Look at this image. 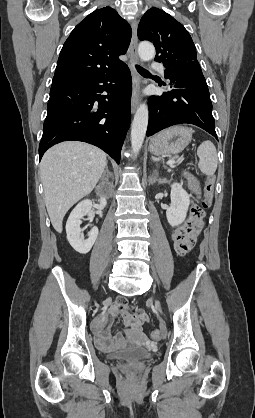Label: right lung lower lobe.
I'll return each mask as SVG.
<instances>
[{
	"instance_id": "right-lung-lower-lobe-1",
	"label": "right lung lower lobe",
	"mask_w": 255,
	"mask_h": 418,
	"mask_svg": "<svg viewBox=\"0 0 255 418\" xmlns=\"http://www.w3.org/2000/svg\"><path fill=\"white\" fill-rule=\"evenodd\" d=\"M131 92L127 65L106 75L52 83L39 158L59 142L77 140L98 146L119 163L130 125Z\"/></svg>"
}]
</instances>
